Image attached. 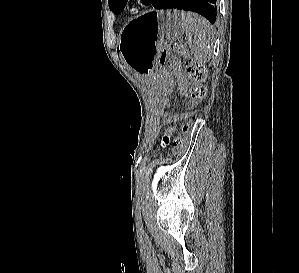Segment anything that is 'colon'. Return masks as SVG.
<instances>
[{
  "label": "colon",
  "mask_w": 299,
  "mask_h": 273,
  "mask_svg": "<svg viewBox=\"0 0 299 273\" xmlns=\"http://www.w3.org/2000/svg\"><path fill=\"white\" fill-rule=\"evenodd\" d=\"M184 53V47L179 43L165 44L162 47L159 62L167 65L172 74L177 78L180 92L184 95L188 93L192 104L201 102L206 94L207 87L204 83L206 78V70L204 66L192 59L181 62L178 56ZM189 83L191 86H189ZM190 125L183 126V134L174 140L175 152L183 148L186 137L189 134Z\"/></svg>",
  "instance_id": "5ec220e1"
}]
</instances>
